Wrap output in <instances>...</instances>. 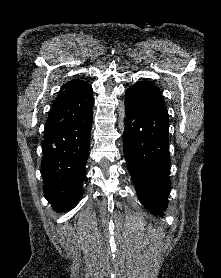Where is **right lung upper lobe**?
<instances>
[{
	"instance_id": "cb5924a9",
	"label": "right lung upper lobe",
	"mask_w": 221,
	"mask_h": 278,
	"mask_svg": "<svg viewBox=\"0 0 221 278\" xmlns=\"http://www.w3.org/2000/svg\"><path fill=\"white\" fill-rule=\"evenodd\" d=\"M93 105L92 87L82 80L64 85L56 97L45 125L44 137L83 116Z\"/></svg>"
}]
</instances>
